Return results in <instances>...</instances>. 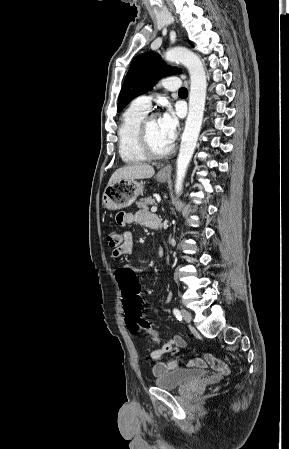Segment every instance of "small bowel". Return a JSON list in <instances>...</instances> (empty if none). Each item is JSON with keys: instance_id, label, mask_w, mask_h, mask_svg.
Instances as JSON below:
<instances>
[{"instance_id": "1", "label": "small bowel", "mask_w": 289, "mask_h": 449, "mask_svg": "<svg viewBox=\"0 0 289 449\" xmlns=\"http://www.w3.org/2000/svg\"><path fill=\"white\" fill-rule=\"evenodd\" d=\"M117 222L120 226H126L129 224H139L146 227H149L151 229H155L156 225H160L159 217L147 212V211H139L136 213H119L117 216ZM137 251V248L135 247L133 243V238L130 232H126L124 235V241L122 245L117 249L113 251L114 257H119L122 255H128L132 254ZM126 268V267H121ZM130 269V268H129ZM131 270V269H130ZM118 281V280H117ZM119 283V281H118ZM174 347V348H173ZM186 347V341L178 336H173L169 342L164 343L163 350H157L152 351L149 353V358L152 361H157L155 365L152 368V372L154 375H162L169 371H172L174 369H177L181 362V357L179 355H176L174 358L167 362H159L158 360L161 358V356L166 353L168 356H173L175 353H179L181 349ZM191 356L188 355L185 357L187 360L190 358L192 361L189 362L190 366L193 367H199V368H206L207 366L209 368H214L216 371L222 373V374H228L230 372L229 366H227L222 361L218 360L217 357H213V354L211 352H208L204 358H197L192 351ZM194 355V356H193Z\"/></svg>"}]
</instances>
